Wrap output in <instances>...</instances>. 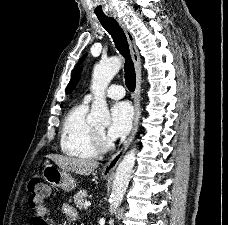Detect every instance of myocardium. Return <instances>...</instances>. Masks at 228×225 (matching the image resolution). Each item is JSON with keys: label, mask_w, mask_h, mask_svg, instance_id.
<instances>
[{"label": "myocardium", "mask_w": 228, "mask_h": 225, "mask_svg": "<svg viewBox=\"0 0 228 225\" xmlns=\"http://www.w3.org/2000/svg\"><path fill=\"white\" fill-rule=\"evenodd\" d=\"M96 143L101 152H105L111 149V142L105 138L103 131L95 129Z\"/></svg>", "instance_id": "myocardium-1"}]
</instances>
